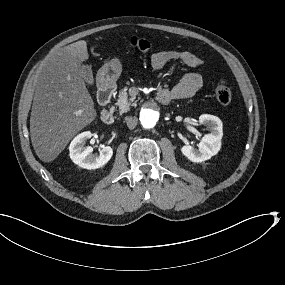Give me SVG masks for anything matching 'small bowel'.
<instances>
[{"instance_id":"obj_1","label":"small bowel","mask_w":285,"mask_h":285,"mask_svg":"<svg viewBox=\"0 0 285 285\" xmlns=\"http://www.w3.org/2000/svg\"><path fill=\"white\" fill-rule=\"evenodd\" d=\"M172 60H177L190 68H199L203 64L202 59L192 52L163 50L151 56V68L153 71H158ZM202 83V77L199 73L190 72L185 74L172 88L162 91L169 93L171 99L191 98L202 87Z\"/></svg>"}]
</instances>
